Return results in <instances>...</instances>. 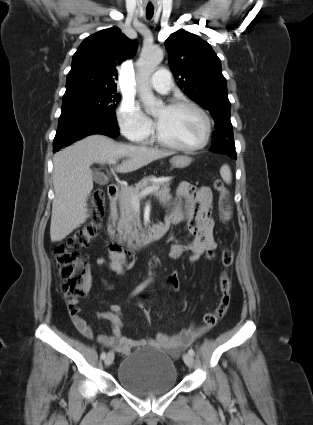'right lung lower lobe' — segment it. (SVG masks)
<instances>
[{
	"label": "right lung lower lobe",
	"mask_w": 313,
	"mask_h": 425,
	"mask_svg": "<svg viewBox=\"0 0 313 425\" xmlns=\"http://www.w3.org/2000/svg\"><path fill=\"white\" fill-rule=\"evenodd\" d=\"M93 134L117 137L119 132L116 116L81 106H62V113L53 142V152Z\"/></svg>",
	"instance_id": "obj_1"
}]
</instances>
